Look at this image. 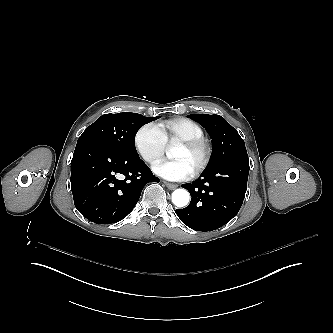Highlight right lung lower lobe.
Wrapping results in <instances>:
<instances>
[{
  "label": "right lung lower lobe",
  "instance_id": "obj_1",
  "mask_svg": "<svg viewBox=\"0 0 333 333\" xmlns=\"http://www.w3.org/2000/svg\"><path fill=\"white\" fill-rule=\"evenodd\" d=\"M149 182L159 179L139 156L121 155L97 141L77 143L71 161V190L75 207L90 221H121Z\"/></svg>",
  "mask_w": 333,
  "mask_h": 333
}]
</instances>
